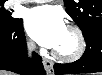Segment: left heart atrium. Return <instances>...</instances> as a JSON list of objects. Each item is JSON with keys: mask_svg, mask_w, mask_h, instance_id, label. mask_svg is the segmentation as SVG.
<instances>
[{"mask_svg": "<svg viewBox=\"0 0 102 75\" xmlns=\"http://www.w3.org/2000/svg\"><path fill=\"white\" fill-rule=\"evenodd\" d=\"M65 29L62 16L53 7H37L28 14L26 30L34 41L45 48H55Z\"/></svg>", "mask_w": 102, "mask_h": 75, "instance_id": "39dd6f15", "label": "left heart atrium"}]
</instances>
